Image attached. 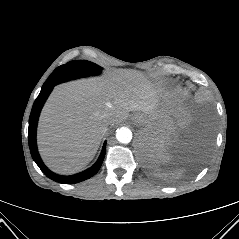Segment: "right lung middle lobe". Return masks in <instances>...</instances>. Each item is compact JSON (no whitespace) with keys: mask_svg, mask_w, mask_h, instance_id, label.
Returning <instances> with one entry per match:
<instances>
[{"mask_svg":"<svg viewBox=\"0 0 239 239\" xmlns=\"http://www.w3.org/2000/svg\"><path fill=\"white\" fill-rule=\"evenodd\" d=\"M102 68L95 63L86 60L70 61L57 67L48 77L42 89L54 87L55 85L72 79L100 74Z\"/></svg>","mask_w":239,"mask_h":239,"instance_id":"1","label":"right lung middle lobe"}]
</instances>
